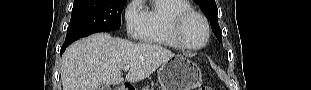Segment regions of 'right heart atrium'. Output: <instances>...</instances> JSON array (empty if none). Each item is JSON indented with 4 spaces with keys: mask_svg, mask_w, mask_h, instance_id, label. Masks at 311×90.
Returning a JSON list of instances; mask_svg holds the SVG:
<instances>
[{
    "mask_svg": "<svg viewBox=\"0 0 311 90\" xmlns=\"http://www.w3.org/2000/svg\"><path fill=\"white\" fill-rule=\"evenodd\" d=\"M125 27L129 38L139 39L144 28V11L141 9V0H132L124 11Z\"/></svg>",
    "mask_w": 311,
    "mask_h": 90,
    "instance_id": "obj_1",
    "label": "right heart atrium"
}]
</instances>
